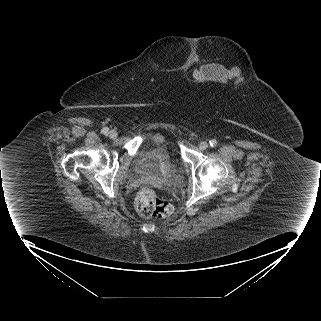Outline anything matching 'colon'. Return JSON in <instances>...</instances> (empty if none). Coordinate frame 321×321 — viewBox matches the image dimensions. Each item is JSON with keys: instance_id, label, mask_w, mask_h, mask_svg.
Masks as SVG:
<instances>
[{"instance_id": "5ec220e1", "label": "colon", "mask_w": 321, "mask_h": 321, "mask_svg": "<svg viewBox=\"0 0 321 321\" xmlns=\"http://www.w3.org/2000/svg\"><path fill=\"white\" fill-rule=\"evenodd\" d=\"M134 205L136 211L147 218H166L173 211L172 205L160 199L156 192L149 187H143L139 190Z\"/></svg>"}]
</instances>
